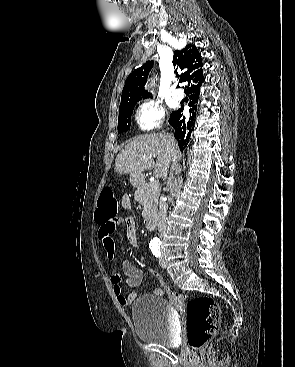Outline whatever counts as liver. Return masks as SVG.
Segmentation results:
<instances>
[{
    "label": "liver",
    "instance_id": "liver-1",
    "mask_svg": "<svg viewBox=\"0 0 295 367\" xmlns=\"http://www.w3.org/2000/svg\"><path fill=\"white\" fill-rule=\"evenodd\" d=\"M179 153L176 142L173 147L170 146L168 135H142L133 139L119 152L115 160V170L120 175H131L153 169L155 176L165 178L171 163L178 158ZM154 157H157L156 162Z\"/></svg>",
    "mask_w": 295,
    "mask_h": 367
}]
</instances>
